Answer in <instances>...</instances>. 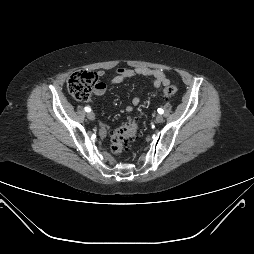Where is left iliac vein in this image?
<instances>
[{
  "label": "left iliac vein",
  "instance_id": "4c4485c4",
  "mask_svg": "<svg viewBox=\"0 0 254 254\" xmlns=\"http://www.w3.org/2000/svg\"><path fill=\"white\" fill-rule=\"evenodd\" d=\"M163 121H164V118H163L162 115H158V116L156 117V122H157V123H162Z\"/></svg>",
  "mask_w": 254,
  "mask_h": 254
}]
</instances>
